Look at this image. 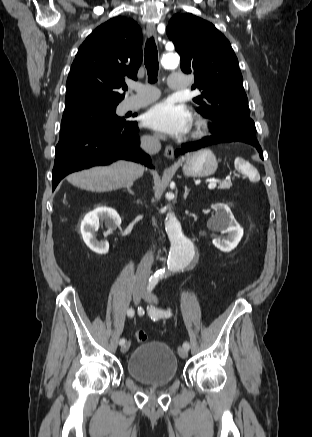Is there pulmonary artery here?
<instances>
[{
  "mask_svg": "<svg viewBox=\"0 0 312 437\" xmlns=\"http://www.w3.org/2000/svg\"><path fill=\"white\" fill-rule=\"evenodd\" d=\"M169 86L172 89H185L188 86V78L182 73H174L169 77ZM159 97V91L151 89L147 91H139L138 94L132 97L127 103V109L134 110L155 101Z\"/></svg>",
  "mask_w": 312,
  "mask_h": 437,
  "instance_id": "e3ab8cb5",
  "label": "pulmonary artery"
}]
</instances>
